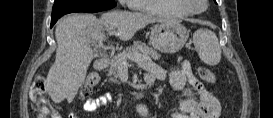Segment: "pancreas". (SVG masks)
Returning <instances> with one entry per match:
<instances>
[{"instance_id":"1","label":"pancreas","mask_w":273,"mask_h":118,"mask_svg":"<svg viewBox=\"0 0 273 118\" xmlns=\"http://www.w3.org/2000/svg\"><path fill=\"white\" fill-rule=\"evenodd\" d=\"M131 53H139L155 61L160 58V54H158L157 51L151 47L139 41L134 42L132 46L126 48L119 54L112 56L107 74L109 77V82L120 84L118 82L120 67L123 65V63H127V55Z\"/></svg>"}]
</instances>
